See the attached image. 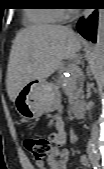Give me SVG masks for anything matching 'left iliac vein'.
Returning a JSON list of instances; mask_svg holds the SVG:
<instances>
[{
  "mask_svg": "<svg viewBox=\"0 0 104 169\" xmlns=\"http://www.w3.org/2000/svg\"><path fill=\"white\" fill-rule=\"evenodd\" d=\"M96 158H97V160L99 159V154H97Z\"/></svg>",
  "mask_w": 104,
  "mask_h": 169,
  "instance_id": "obj_1",
  "label": "left iliac vein"
}]
</instances>
